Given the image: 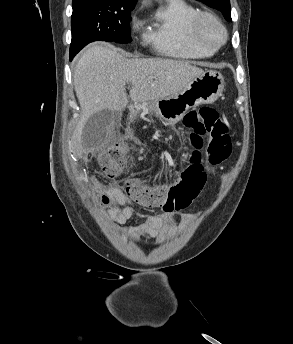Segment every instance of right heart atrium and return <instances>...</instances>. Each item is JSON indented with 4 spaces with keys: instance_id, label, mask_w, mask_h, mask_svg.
<instances>
[{
    "instance_id": "right-heart-atrium-1",
    "label": "right heart atrium",
    "mask_w": 293,
    "mask_h": 344,
    "mask_svg": "<svg viewBox=\"0 0 293 344\" xmlns=\"http://www.w3.org/2000/svg\"><path fill=\"white\" fill-rule=\"evenodd\" d=\"M130 26L132 29H138L140 26V22L136 18H132L130 21Z\"/></svg>"
}]
</instances>
